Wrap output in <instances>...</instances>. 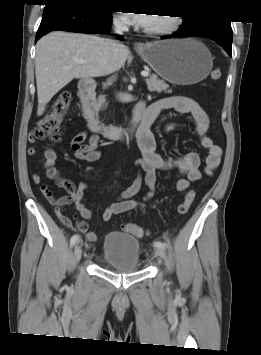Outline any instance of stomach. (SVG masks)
<instances>
[{
    "label": "stomach",
    "instance_id": "stomach-1",
    "mask_svg": "<svg viewBox=\"0 0 261 355\" xmlns=\"http://www.w3.org/2000/svg\"><path fill=\"white\" fill-rule=\"evenodd\" d=\"M137 52L160 77L178 85L204 80L213 67L208 48L193 38L146 43Z\"/></svg>",
    "mask_w": 261,
    "mask_h": 355
}]
</instances>
